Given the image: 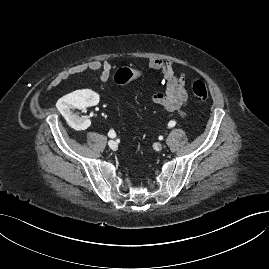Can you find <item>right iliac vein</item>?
I'll return each mask as SVG.
<instances>
[{
	"mask_svg": "<svg viewBox=\"0 0 269 269\" xmlns=\"http://www.w3.org/2000/svg\"><path fill=\"white\" fill-rule=\"evenodd\" d=\"M108 145H109V147H110L112 150H116L117 147H118L117 143H116L114 140H110V141L108 142Z\"/></svg>",
	"mask_w": 269,
	"mask_h": 269,
	"instance_id": "1",
	"label": "right iliac vein"
}]
</instances>
